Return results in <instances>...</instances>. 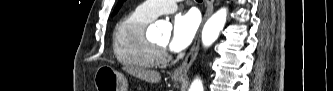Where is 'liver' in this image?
<instances>
[{"mask_svg": "<svg viewBox=\"0 0 333 91\" xmlns=\"http://www.w3.org/2000/svg\"><path fill=\"white\" fill-rule=\"evenodd\" d=\"M123 70L131 75L149 83H158L161 80L159 72L154 70H145L141 68L123 67Z\"/></svg>", "mask_w": 333, "mask_h": 91, "instance_id": "1", "label": "liver"}]
</instances>
